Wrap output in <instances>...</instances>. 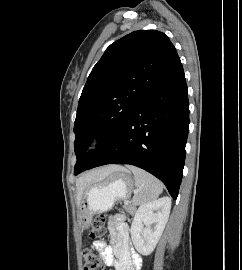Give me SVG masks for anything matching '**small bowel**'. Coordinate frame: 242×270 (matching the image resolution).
Returning <instances> with one entry per match:
<instances>
[{"mask_svg":"<svg viewBox=\"0 0 242 270\" xmlns=\"http://www.w3.org/2000/svg\"><path fill=\"white\" fill-rule=\"evenodd\" d=\"M108 229L110 244L102 240L93 243L103 262L107 266L115 267V270H138L141 266V257L131 247L130 229L125 216L122 214L110 216Z\"/></svg>","mask_w":242,"mask_h":270,"instance_id":"obj_1","label":"small bowel"}]
</instances>
